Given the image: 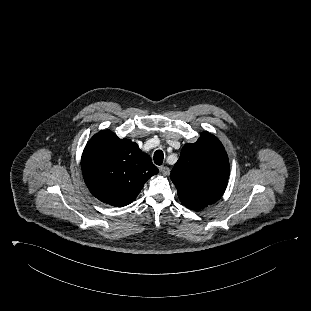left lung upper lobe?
Listing matches in <instances>:
<instances>
[{"label":"left lung upper lobe","mask_w":311,"mask_h":311,"mask_svg":"<svg viewBox=\"0 0 311 311\" xmlns=\"http://www.w3.org/2000/svg\"><path fill=\"white\" fill-rule=\"evenodd\" d=\"M229 172L228 157L221 142L214 135L202 132L195 143L183 146L170 178L184 205L203 207L221 198Z\"/></svg>","instance_id":"left-lung-upper-lobe-1"}]
</instances>
